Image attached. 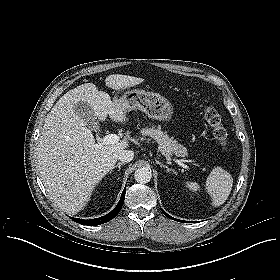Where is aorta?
I'll list each match as a JSON object with an SVG mask.
<instances>
[{"mask_svg":"<svg viewBox=\"0 0 280 280\" xmlns=\"http://www.w3.org/2000/svg\"><path fill=\"white\" fill-rule=\"evenodd\" d=\"M134 178L138 183H148L152 178V172L147 167L138 168L134 173Z\"/></svg>","mask_w":280,"mask_h":280,"instance_id":"obj_1","label":"aorta"}]
</instances>
